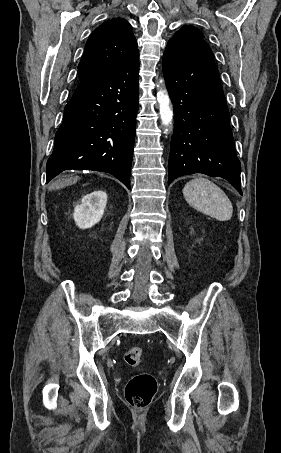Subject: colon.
I'll list each match as a JSON object with an SVG mask.
<instances>
[{
	"mask_svg": "<svg viewBox=\"0 0 281 453\" xmlns=\"http://www.w3.org/2000/svg\"><path fill=\"white\" fill-rule=\"evenodd\" d=\"M124 360L129 366H139L143 363L144 352L141 347L135 346L127 350ZM157 391L155 377L151 374H131L125 388V399L135 409H144L149 406Z\"/></svg>",
	"mask_w": 281,
	"mask_h": 453,
	"instance_id": "5ec220e1",
	"label": "colon"
}]
</instances>
